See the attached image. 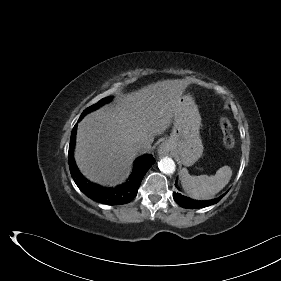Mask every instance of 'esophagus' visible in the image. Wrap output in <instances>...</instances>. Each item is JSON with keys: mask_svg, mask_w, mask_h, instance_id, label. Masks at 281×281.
I'll return each instance as SVG.
<instances>
[{"mask_svg": "<svg viewBox=\"0 0 281 281\" xmlns=\"http://www.w3.org/2000/svg\"><path fill=\"white\" fill-rule=\"evenodd\" d=\"M169 152H170V149H169V147L166 144H162L158 148V154L159 155H168Z\"/></svg>", "mask_w": 281, "mask_h": 281, "instance_id": "obj_1", "label": "esophagus"}]
</instances>
